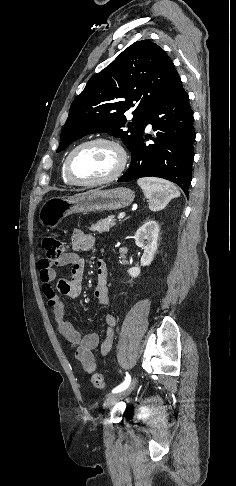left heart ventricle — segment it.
Here are the masks:
<instances>
[{
  "instance_id": "left-heart-ventricle-1",
  "label": "left heart ventricle",
  "mask_w": 236,
  "mask_h": 486,
  "mask_svg": "<svg viewBox=\"0 0 236 486\" xmlns=\"http://www.w3.org/2000/svg\"><path fill=\"white\" fill-rule=\"evenodd\" d=\"M119 163L117 151L106 144H93L80 149L72 159L71 170L80 180L104 178L115 171Z\"/></svg>"
}]
</instances>
